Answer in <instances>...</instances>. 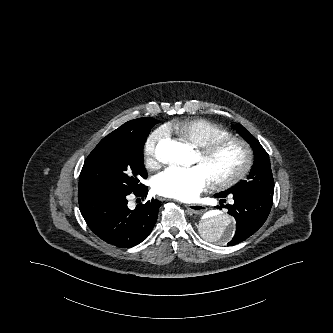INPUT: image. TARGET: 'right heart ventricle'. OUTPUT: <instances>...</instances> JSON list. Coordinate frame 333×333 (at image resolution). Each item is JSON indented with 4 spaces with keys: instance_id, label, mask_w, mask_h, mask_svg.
I'll return each instance as SVG.
<instances>
[{
    "instance_id": "right-heart-ventricle-1",
    "label": "right heart ventricle",
    "mask_w": 333,
    "mask_h": 333,
    "mask_svg": "<svg viewBox=\"0 0 333 333\" xmlns=\"http://www.w3.org/2000/svg\"><path fill=\"white\" fill-rule=\"evenodd\" d=\"M167 130L178 140L195 147L230 136L224 127L200 118L175 119L167 125Z\"/></svg>"
}]
</instances>
